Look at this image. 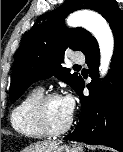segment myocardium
I'll list each match as a JSON object with an SVG mask.
<instances>
[{
	"label": "myocardium",
	"instance_id": "obj_1",
	"mask_svg": "<svg viewBox=\"0 0 123 152\" xmlns=\"http://www.w3.org/2000/svg\"><path fill=\"white\" fill-rule=\"evenodd\" d=\"M57 98H62L60 94L51 92L47 94H43L41 98L37 101L35 107H34V119L38 126V128L46 135V136H58L66 131L69 130V128L72 125L73 122V116L71 115L67 123L60 127V128H52L49 124L48 117H47V106L48 103Z\"/></svg>",
	"mask_w": 123,
	"mask_h": 152
}]
</instances>
